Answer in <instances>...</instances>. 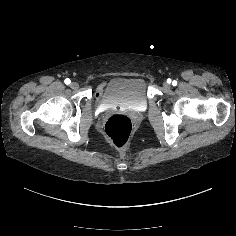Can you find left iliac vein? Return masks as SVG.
<instances>
[{
    "mask_svg": "<svg viewBox=\"0 0 236 236\" xmlns=\"http://www.w3.org/2000/svg\"><path fill=\"white\" fill-rule=\"evenodd\" d=\"M163 86H164V88H166V89H169V88L171 87V85H170L168 82H165V83L163 84Z\"/></svg>",
    "mask_w": 236,
    "mask_h": 236,
    "instance_id": "left-iliac-vein-1",
    "label": "left iliac vein"
}]
</instances>
